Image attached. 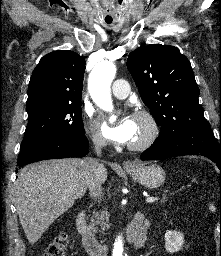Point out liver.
<instances>
[{"mask_svg":"<svg viewBox=\"0 0 221 256\" xmlns=\"http://www.w3.org/2000/svg\"><path fill=\"white\" fill-rule=\"evenodd\" d=\"M89 159H53L24 167L18 173L14 201L28 241L34 244L49 226L88 189ZM107 179L104 168L102 183Z\"/></svg>","mask_w":221,"mask_h":256,"instance_id":"6515ba94","label":"liver"}]
</instances>
